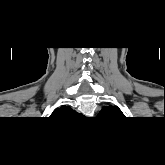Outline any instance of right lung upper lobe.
Returning <instances> with one entry per match:
<instances>
[{
  "label": "right lung upper lobe",
  "instance_id": "obj_1",
  "mask_svg": "<svg viewBox=\"0 0 165 165\" xmlns=\"http://www.w3.org/2000/svg\"><path fill=\"white\" fill-rule=\"evenodd\" d=\"M74 113L76 112L69 106H61L60 108L55 109L50 117L51 118H66L70 115H73Z\"/></svg>",
  "mask_w": 165,
  "mask_h": 165
}]
</instances>
